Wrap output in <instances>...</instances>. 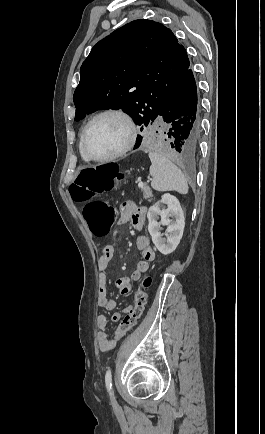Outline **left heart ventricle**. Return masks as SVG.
<instances>
[{"mask_svg": "<svg viewBox=\"0 0 265 434\" xmlns=\"http://www.w3.org/2000/svg\"><path fill=\"white\" fill-rule=\"evenodd\" d=\"M128 137L126 122L115 115L99 119L90 129L85 140L86 152L95 158H103L121 149Z\"/></svg>", "mask_w": 265, "mask_h": 434, "instance_id": "1", "label": "left heart ventricle"}]
</instances>
